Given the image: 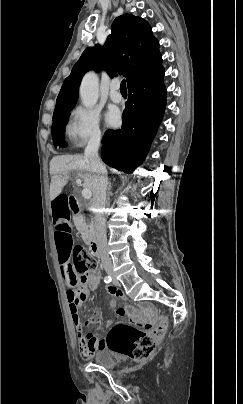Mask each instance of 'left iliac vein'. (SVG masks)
I'll use <instances>...</instances> for the list:
<instances>
[{
    "label": "left iliac vein",
    "mask_w": 243,
    "mask_h": 404,
    "mask_svg": "<svg viewBox=\"0 0 243 404\" xmlns=\"http://www.w3.org/2000/svg\"><path fill=\"white\" fill-rule=\"evenodd\" d=\"M113 284H114L115 286H118V285H119V282H118V280H117L115 277H113Z\"/></svg>",
    "instance_id": "left-iliac-vein-1"
}]
</instances>
